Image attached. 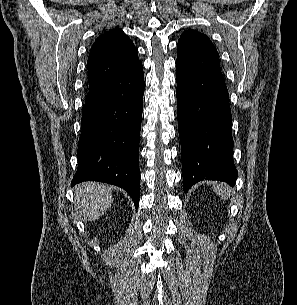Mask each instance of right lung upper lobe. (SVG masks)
Segmentation results:
<instances>
[{
	"mask_svg": "<svg viewBox=\"0 0 297 305\" xmlns=\"http://www.w3.org/2000/svg\"><path fill=\"white\" fill-rule=\"evenodd\" d=\"M140 62L136 47L122 30L105 32L90 49L87 61L89 88L120 77Z\"/></svg>",
	"mask_w": 297,
	"mask_h": 305,
	"instance_id": "cb5924a9",
	"label": "right lung upper lobe"
}]
</instances>
